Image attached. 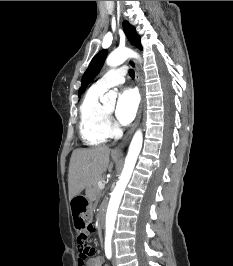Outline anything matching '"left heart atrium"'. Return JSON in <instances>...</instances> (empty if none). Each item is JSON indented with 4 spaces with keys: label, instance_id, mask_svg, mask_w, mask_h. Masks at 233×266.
<instances>
[{
    "label": "left heart atrium",
    "instance_id": "left-heart-atrium-1",
    "mask_svg": "<svg viewBox=\"0 0 233 266\" xmlns=\"http://www.w3.org/2000/svg\"><path fill=\"white\" fill-rule=\"evenodd\" d=\"M139 97L132 88L124 89L120 94L115 110L117 120L122 125H128L136 116Z\"/></svg>",
    "mask_w": 233,
    "mask_h": 266
}]
</instances>
